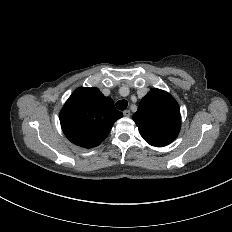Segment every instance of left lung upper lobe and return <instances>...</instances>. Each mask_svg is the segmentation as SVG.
Returning <instances> with one entry per match:
<instances>
[{
    "label": "left lung upper lobe",
    "instance_id": "obj_1",
    "mask_svg": "<svg viewBox=\"0 0 232 232\" xmlns=\"http://www.w3.org/2000/svg\"><path fill=\"white\" fill-rule=\"evenodd\" d=\"M143 139L152 146L163 147L176 139L181 127L180 108L167 92L151 89L133 115Z\"/></svg>",
    "mask_w": 232,
    "mask_h": 232
}]
</instances>
